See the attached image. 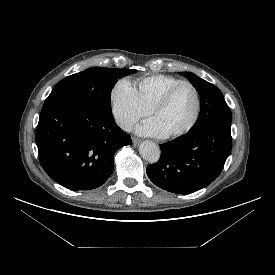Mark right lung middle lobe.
I'll use <instances>...</instances> for the list:
<instances>
[{
	"instance_id": "obj_1",
	"label": "right lung middle lobe",
	"mask_w": 275,
	"mask_h": 275,
	"mask_svg": "<svg viewBox=\"0 0 275 275\" xmlns=\"http://www.w3.org/2000/svg\"><path fill=\"white\" fill-rule=\"evenodd\" d=\"M135 72L137 70L91 67L60 81L44 105L83 102L112 114L110 103L112 88L119 78Z\"/></svg>"
}]
</instances>
